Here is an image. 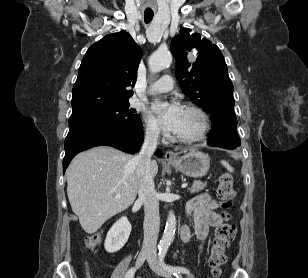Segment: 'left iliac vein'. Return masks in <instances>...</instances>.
Here are the masks:
<instances>
[{"mask_svg": "<svg viewBox=\"0 0 308 278\" xmlns=\"http://www.w3.org/2000/svg\"><path fill=\"white\" fill-rule=\"evenodd\" d=\"M147 261H148L150 268L156 274L166 277V278H171V274L166 269H164L161 264H159L156 253L152 252L150 256L147 258Z\"/></svg>", "mask_w": 308, "mask_h": 278, "instance_id": "obj_1", "label": "left iliac vein"}]
</instances>
